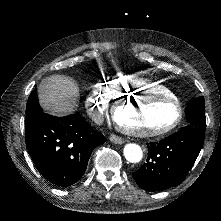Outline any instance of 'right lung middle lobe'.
Returning a JSON list of instances; mask_svg holds the SVG:
<instances>
[{
  "instance_id": "dd1d6c3e",
  "label": "right lung middle lobe",
  "mask_w": 221,
  "mask_h": 221,
  "mask_svg": "<svg viewBox=\"0 0 221 221\" xmlns=\"http://www.w3.org/2000/svg\"><path fill=\"white\" fill-rule=\"evenodd\" d=\"M41 110L40 105L38 103V98H37V89H34L27 101V106H26V114L34 111Z\"/></svg>"
}]
</instances>
